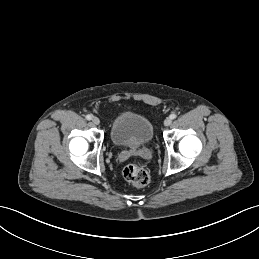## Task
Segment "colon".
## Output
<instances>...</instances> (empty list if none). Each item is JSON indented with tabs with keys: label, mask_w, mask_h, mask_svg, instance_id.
<instances>
[{
	"label": "colon",
	"mask_w": 259,
	"mask_h": 259,
	"mask_svg": "<svg viewBox=\"0 0 259 259\" xmlns=\"http://www.w3.org/2000/svg\"><path fill=\"white\" fill-rule=\"evenodd\" d=\"M123 177L128 183L136 187L147 185L150 179L148 172L138 164L127 165L123 170Z\"/></svg>",
	"instance_id": "colon-1"
}]
</instances>
